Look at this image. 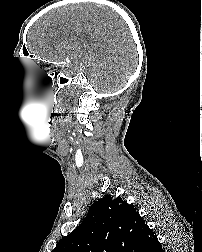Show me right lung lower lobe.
Masks as SVG:
<instances>
[{
	"mask_svg": "<svg viewBox=\"0 0 202 252\" xmlns=\"http://www.w3.org/2000/svg\"><path fill=\"white\" fill-rule=\"evenodd\" d=\"M154 252H164V251L162 250L161 245H159V246L154 250Z\"/></svg>",
	"mask_w": 202,
	"mask_h": 252,
	"instance_id": "98d812e1",
	"label": "right lung lower lobe"
}]
</instances>
